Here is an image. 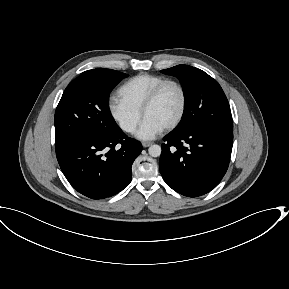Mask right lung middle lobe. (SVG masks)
I'll return each mask as SVG.
<instances>
[{"label":"right lung middle lobe","mask_w":289,"mask_h":289,"mask_svg":"<svg viewBox=\"0 0 289 289\" xmlns=\"http://www.w3.org/2000/svg\"><path fill=\"white\" fill-rule=\"evenodd\" d=\"M125 77L126 74L112 69L88 70L66 87L55 112L56 152L80 140L118 129L108 98L114 86Z\"/></svg>","instance_id":"right-lung-middle-lobe-1"}]
</instances>
